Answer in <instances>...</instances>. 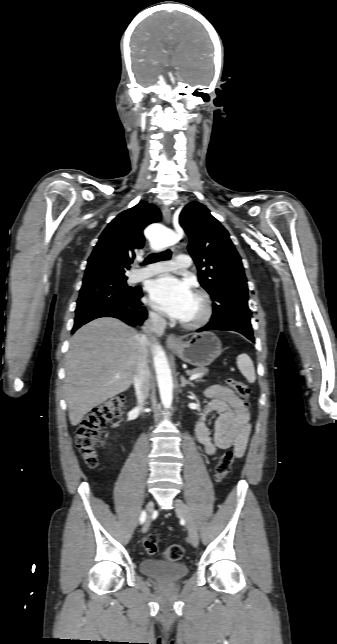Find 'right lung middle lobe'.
I'll return each instance as SVG.
<instances>
[{"mask_svg": "<svg viewBox=\"0 0 337 644\" xmlns=\"http://www.w3.org/2000/svg\"><path fill=\"white\" fill-rule=\"evenodd\" d=\"M127 278H95L83 281L75 312L115 305L137 296L139 288L127 287Z\"/></svg>", "mask_w": 337, "mask_h": 644, "instance_id": "1", "label": "right lung middle lobe"}]
</instances>
